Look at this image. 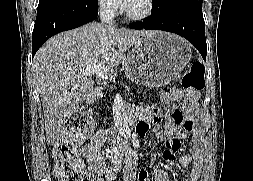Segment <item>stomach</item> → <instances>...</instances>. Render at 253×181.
<instances>
[{"instance_id":"stomach-1","label":"stomach","mask_w":253,"mask_h":181,"mask_svg":"<svg viewBox=\"0 0 253 181\" xmlns=\"http://www.w3.org/2000/svg\"><path fill=\"white\" fill-rule=\"evenodd\" d=\"M191 59L189 44L174 34L153 31L137 42L124 63L127 77L145 87H162L175 79Z\"/></svg>"}]
</instances>
